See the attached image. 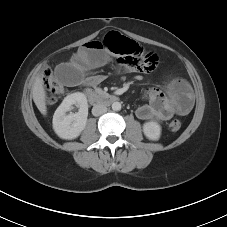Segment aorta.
Segmentation results:
<instances>
[{
	"label": "aorta",
	"mask_w": 227,
	"mask_h": 227,
	"mask_svg": "<svg viewBox=\"0 0 227 227\" xmlns=\"http://www.w3.org/2000/svg\"><path fill=\"white\" fill-rule=\"evenodd\" d=\"M112 110H114V111L121 110V103L120 102H113V104H112Z\"/></svg>",
	"instance_id": "obj_1"
}]
</instances>
